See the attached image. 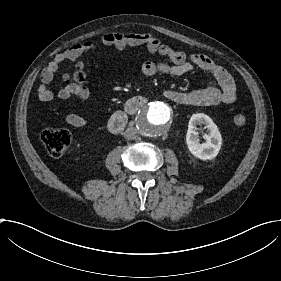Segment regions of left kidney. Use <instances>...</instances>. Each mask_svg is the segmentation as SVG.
Here are the masks:
<instances>
[{
  "mask_svg": "<svg viewBox=\"0 0 281 281\" xmlns=\"http://www.w3.org/2000/svg\"><path fill=\"white\" fill-rule=\"evenodd\" d=\"M204 124L208 130L205 135L206 142L200 143L196 126ZM186 143L189 151L196 157L207 160L213 159L219 153L222 144V137L217 125L213 120L203 113L193 114L189 120Z\"/></svg>",
  "mask_w": 281,
  "mask_h": 281,
  "instance_id": "1",
  "label": "left kidney"
}]
</instances>
